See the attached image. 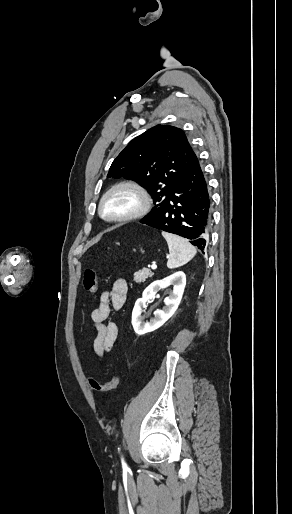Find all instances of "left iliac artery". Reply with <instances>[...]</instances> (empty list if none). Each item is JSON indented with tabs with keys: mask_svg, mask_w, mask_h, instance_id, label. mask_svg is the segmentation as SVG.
Listing matches in <instances>:
<instances>
[{
	"mask_svg": "<svg viewBox=\"0 0 292 514\" xmlns=\"http://www.w3.org/2000/svg\"><path fill=\"white\" fill-rule=\"evenodd\" d=\"M122 466L124 469H128L126 463L124 462V459L122 458Z\"/></svg>",
	"mask_w": 292,
	"mask_h": 514,
	"instance_id": "1",
	"label": "left iliac artery"
}]
</instances>
